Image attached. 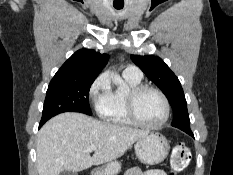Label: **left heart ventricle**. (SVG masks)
Returning a JSON list of instances; mask_svg holds the SVG:
<instances>
[{
  "instance_id": "obj_1",
  "label": "left heart ventricle",
  "mask_w": 233,
  "mask_h": 175,
  "mask_svg": "<svg viewBox=\"0 0 233 175\" xmlns=\"http://www.w3.org/2000/svg\"><path fill=\"white\" fill-rule=\"evenodd\" d=\"M136 111L142 122L156 124L164 116V104L157 93L147 90L138 97Z\"/></svg>"
}]
</instances>
